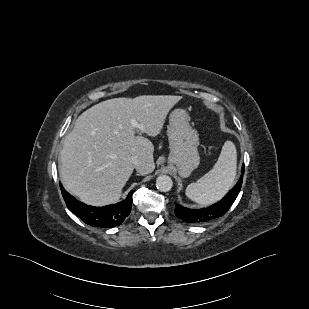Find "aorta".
I'll list each match as a JSON object with an SVG mask.
<instances>
[{
    "label": "aorta",
    "mask_w": 309,
    "mask_h": 309,
    "mask_svg": "<svg viewBox=\"0 0 309 309\" xmlns=\"http://www.w3.org/2000/svg\"><path fill=\"white\" fill-rule=\"evenodd\" d=\"M173 186L172 179L168 175H160L156 179V187L161 192H168Z\"/></svg>",
    "instance_id": "1"
}]
</instances>
